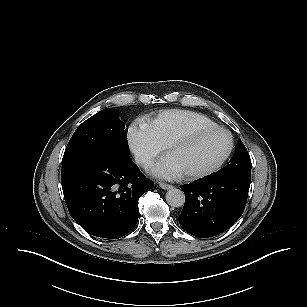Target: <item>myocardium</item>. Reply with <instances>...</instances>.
Wrapping results in <instances>:
<instances>
[{"mask_svg": "<svg viewBox=\"0 0 307 307\" xmlns=\"http://www.w3.org/2000/svg\"><path fill=\"white\" fill-rule=\"evenodd\" d=\"M213 132H222V133H225L226 135H228L229 140H230V146H229L228 151L223 156V158L218 163L213 165L212 167H209V168H207L205 170H201V171L182 174L181 177L183 179H185V180H197V179H200V178L207 177V176L219 171L225 165V163L229 160V158L231 157V155L234 151V148H235L234 136L232 135V133L229 130H227L223 127H220V126L205 127V128H199V129L192 130V131L188 132L187 134L183 135L182 137L176 139L175 141H173L172 143H170L169 145H167L165 147V151L168 154L171 151L178 150L180 148L186 147L187 145L192 143L194 140L200 138L203 135L213 133Z\"/></svg>", "mask_w": 307, "mask_h": 307, "instance_id": "myocardium-1", "label": "myocardium"}]
</instances>
